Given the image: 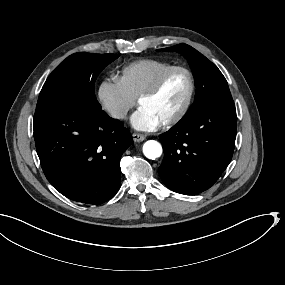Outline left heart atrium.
<instances>
[{"instance_id": "obj_1", "label": "left heart atrium", "mask_w": 285, "mask_h": 285, "mask_svg": "<svg viewBox=\"0 0 285 285\" xmlns=\"http://www.w3.org/2000/svg\"><path fill=\"white\" fill-rule=\"evenodd\" d=\"M160 119L145 105L141 104L130 119V124L138 130H150L156 128Z\"/></svg>"}]
</instances>
